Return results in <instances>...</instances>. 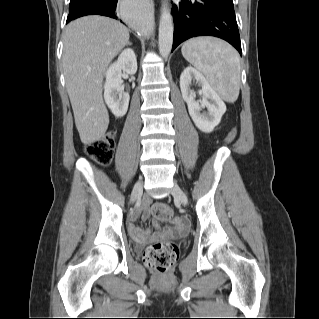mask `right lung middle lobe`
I'll return each instance as SVG.
<instances>
[{
	"label": "right lung middle lobe",
	"instance_id": "right-lung-middle-lobe-1",
	"mask_svg": "<svg viewBox=\"0 0 319 319\" xmlns=\"http://www.w3.org/2000/svg\"><path fill=\"white\" fill-rule=\"evenodd\" d=\"M83 0H71L69 4V11L73 10L78 4H80Z\"/></svg>",
	"mask_w": 319,
	"mask_h": 319
}]
</instances>
